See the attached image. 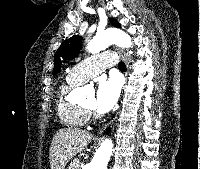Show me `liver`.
Returning <instances> with one entry per match:
<instances>
[{
	"instance_id": "obj_1",
	"label": "liver",
	"mask_w": 200,
	"mask_h": 169,
	"mask_svg": "<svg viewBox=\"0 0 200 169\" xmlns=\"http://www.w3.org/2000/svg\"><path fill=\"white\" fill-rule=\"evenodd\" d=\"M91 134L85 130L62 128L54 135L50 150L51 169H64L67 163L89 144Z\"/></svg>"
}]
</instances>
